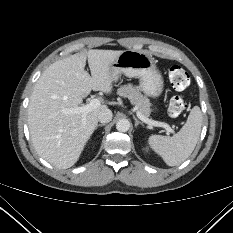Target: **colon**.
I'll use <instances>...</instances> for the list:
<instances>
[{
    "mask_svg": "<svg viewBox=\"0 0 233 233\" xmlns=\"http://www.w3.org/2000/svg\"><path fill=\"white\" fill-rule=\"evenodd\" d=\"M168 78L176 90H184L190 84L189 74L179 65H171L168 68ZM186 108V103L181 96H174L169 103V114L173 117L179 116Z\"/></svg>",
    "mask_w": 233,
    "mask_h": 233,
    "instance_id": "1",
    "label": "colon"
}]
</instances>
